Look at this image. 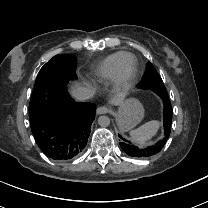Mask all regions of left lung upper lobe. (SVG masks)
Returning a JSON list of instances; mask_svg holds the SVG:
<instances>
[{
    "label": "left lung upper lobe",
    "instance_id": "1",
    "mask_svg": "<svg viewBox=\"0 0 208 208\" xmlns=\"http://www.w3.org/2000/svg\"><path fill=\"white\" fill-rule=\"evenodd\" d=\"M139 88L153 90L160 97H168L164 83L151 63L147 66L143 80L139 83Z\"/></svg>",
    "mask_w": 208,
    "mask_h": 208
}]
</instances>
